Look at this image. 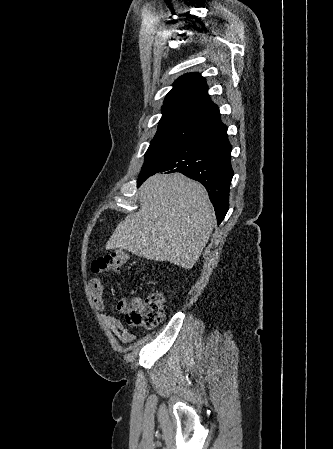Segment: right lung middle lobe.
<instances>
[{
	"instance_id": "dd1d6c3e",
	"label": "right lung middle lobe",
	"mask_w": 333,
	"mask_h": 449,
	"mask_svg": "<svg viewBox=\"0 0 333 449\" xmlns=\"http://www.w3.org/2000/svg\"><path fill=\"white\" fill-rule=\"evenodd\" d=\"M200 131H202L200 128L183 125L158 128L145 154L139 178L145 176L160 161Z\"/></svg>"
}]
</instances>
